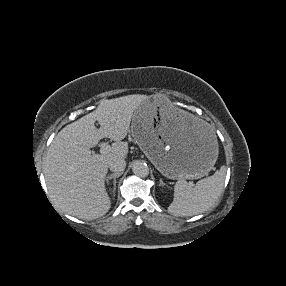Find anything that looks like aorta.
<instances>
[{
  "label": "aorta",
  "instance_id": "aorta-1",
  "mask_svg": "<svg viewBox=\"0 0 286 286\" xmlns=\"http://www.w3.org/2000/svg\"><path fill=\"white\" fill-rule=\"evenodd\" d=\"M132 171L138 177H147L149 175V168L143 161L137 160L132 164Z\"/></svg>",
  "mask_w": 286,
  "mask_h": 286
}]
</instances>
